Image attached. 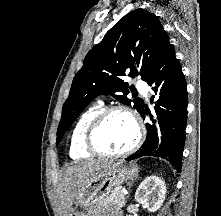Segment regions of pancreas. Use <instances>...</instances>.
Here are the masks:
<instances>
[{
  "mask_svg": "<svg viewBox=\"0 0 221 216\" xmlns=\"http://www.w3.org/2000/svg\"><path fill=\"white\" fill-rule=\"evenodd\" d=\"M104 205H116L118 207H123L125 205V196L122 193V188H115L112 193L105 198Z\"/></svg>",
  "mask_w": 221,
  "mask_h": 216,
  "instance_id": "1",
  "label": "pancreas"
}]
</instances>
